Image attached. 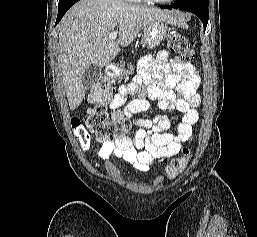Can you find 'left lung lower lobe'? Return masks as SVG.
Here are the masks:
<instances>
[{
  "instance_id": "left-lung-lower-lobe-1",
  "label": "left lung lower lobe",
  "mask_w": 257,
  "mask_h": 237,
  "mask_svg": "<svg viewBox=\"0 0 257 237\" xmlns=\"http://www.w3.org/2000/svg\"><path fill=\"white\" fill-rule=\"evenodd\" d=\"M161 8H167V9H171V8H175V9H181L184 11H189L194 13L195 15H197L201 21L203 22V26H204V31L207 27V23H208V4L207 5H203V4H199V3H190V4H186V5H179L176 2L172 5V6H161Z\"/></svg>"
}]
</instances>
